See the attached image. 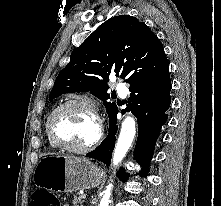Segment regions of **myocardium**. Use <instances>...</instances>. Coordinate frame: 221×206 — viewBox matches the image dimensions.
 I'll return each instance as SVG.
<instances>
[{"label":"myocardium","instance_id":"myocardium-1","mask_svg":"<svg viewBox=\"0 0 221 206\" xmlns=\"http://www.w3.org/2000/svg\"><path fill=\"white\" fill-rule=\"evenodd\" d=\"M72 105H79L87 108L93 115L95 122H96V134L94 139L92 140L91 143H89L86 146L83 147H73L70 145H67L65 143L60 142L53 134V129H52V123L55 118V116L62 111L63 109L72 106ZM46 132H47V137L49 141L51 142L52 145H54L57 148H60L62 150L72 152L75 154H85L93 151L100 143L103 135V125L102 121L100 118V115L98 113V110L96 106L90 102L89 100L82 99V98H73L69 99L61 104H59L56 108L53 109V111L49 114L46 122Z\"/></svg>","mask_w":221,"mask_h":206}]
</instances>
